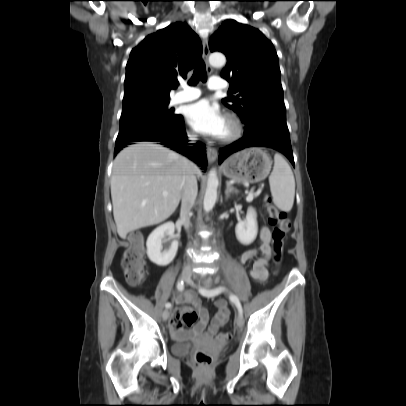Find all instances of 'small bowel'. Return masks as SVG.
Wrapping results in <instances>:
<instances>
[{
	"label": "small bowel",
	"instance_id": "c3829d8e",
	"mask_svg": "<svg viewBox=\"0 0 406 406\" xmlns=\"http://www.w3.org/2000/svg\"><path fill=\"white\" fill-rule=\"evenodd\" d=\"M270 240V230L268 227L263 226L259 233V247L257 249L245 251L239 258V261L242 264L253 261V265L249 270V275L259 283H264L268 278L267 266L270 256ZM174 301L178 305L192 306L197 311L199 321L189 333L192 336L204 335L205 338L214 336L219 328L226 323L230 315L226 301L219 299L215 302L217 313L209 322L207 309L202 305L201 301L193 291H186L183 294L177 295L174 298ZM185 312H191V310L186 309ZM170 330L175 337L183 338L186 336V333L182 329L178 330L170 326Z\"/></svg>",
	"mask_w": 406,
	"mask_h": 406
}]
</instances>
